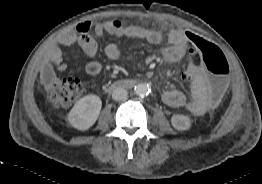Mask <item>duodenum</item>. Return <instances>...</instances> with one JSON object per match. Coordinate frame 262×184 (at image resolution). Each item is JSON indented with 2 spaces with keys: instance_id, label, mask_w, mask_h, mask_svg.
I'll list each match as a JSON object with an SVG mask.
<instances>
[{
  "instance_id": "duodenum-1",
  "label": "duodenum",
  "mask_w": 262,
  "mask_h": 184,
  "mask_svg": "<svg viewBox=\"0 0 262 184\" xmlns=\"http://www.w3.org/2000/svg\"><path fill=\"white\" fill-rule=\"evenodd\" d=\"M136 84L135 80H124V81H119L118 83L109 86L108 89L110 88H128Z\"/></svg>"
}]
</instances>
